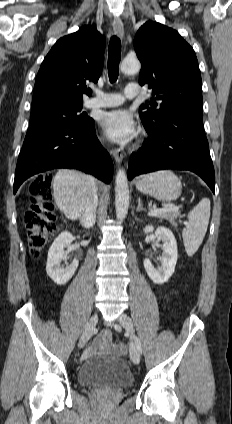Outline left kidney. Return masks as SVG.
<instances>
[{"label": "left kidney", "mask_w": 232, "mask_h": 424, "mask_svg": "<svg viewBox=\"0 0 232 424\" xmlns=\"http://www.w3.org/2000/svg\"><path fill=\"white\" fill-rule=\"evenodd\" d=\"M153 231V226L149 225L144 228L145 233H151ZM155 236L158 241L163 242V253L160 258L161 265L155 268L149 259H145L143 264L149 278L155 284H163L169 280L175 271L178 258L177 243L172 231L166 227H158L155 230Z\"/></svg>", "instance_id": "left-kidney-1"}]
</instances>
